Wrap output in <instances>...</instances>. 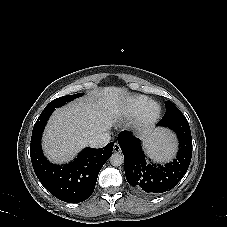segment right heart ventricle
<instances>
[{
	"instance_id": "e07e8e85",
	"label": "right heart ventricle",
	"mask_w": 227,
	"mask_h": 227,
	"mask_svg": "<svg viewBox=\"0 0 227 227\" xmlns=\"http://www.w3.org/2000/svg\"><path fill=\"white\" fill-rule=\"evenodd\" d=\"M148 103L149 100L147 97L144 96L132 97L125 102L123 106V112L127 116L138 115L144 110Z\"/></svg>"
}]
</instances>
